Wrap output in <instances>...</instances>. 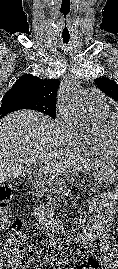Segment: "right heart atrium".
<instances>
[{"mask_svg": "<svg viewBox=\"0 0 118 269\" xmlns=\"http://www.w3.org/2000/svg\"><path fill=\"white\" fill-rule=\"evenodd\" d=\"M58 122L63 130L66 141L70 145L80 147L87 140L89 134L85 133L70 118L59 113Z\"/></svg>", "mask_w": 118, "mask_h": 269, "instance_id": "right-heart-atrium-1", "label": "right heart atrium"}]
</instances>
